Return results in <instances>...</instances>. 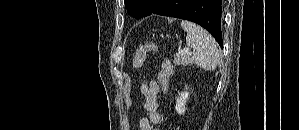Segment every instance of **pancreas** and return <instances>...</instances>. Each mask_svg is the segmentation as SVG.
Segmentation results:
<instances>
[{"mask_svg": "<svg viewBox=\"0 0 299 130\" xmlns=\"http://www.w3.org/2000/svg\"><path fill=\"white\" fill-rule=\"evenodd\" d=\"M175 65H192V58L190 55H184V56H175L173 60Z\"/></svg>", "mask_w": 299, "mask_h": 130, "instance_id": "1", "label": "pancreas"}]
</instances>
